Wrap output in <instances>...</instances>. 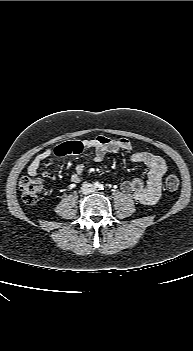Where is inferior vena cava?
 I'll use <instances>...</instances> for the list:
<instances>
[{
    "label": "inferior vena cava",
    "instance_id": "1",
    "mask_svg": "<svg viewBox=\"0 0 193 351\" xmlns=\"http://www.w3.org/2000/svg\"><path fill=\"white\" fill-rule=\"evenodd\" d=\"M96 188L93 184L84 182L81 187V192L85 195L95 192Z\"/></svg>",
    "mask_w": 193,
    "mask_h": 351
}]
</instances>
